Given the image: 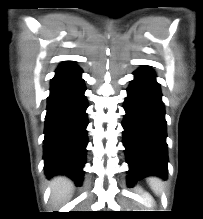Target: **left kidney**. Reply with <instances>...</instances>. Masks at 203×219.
I'll return each instance as SVG.
<instances>
[{"label": "left kidney", "mask_w": 203, "mask_h": 219, "mask_svg": "<svg viewBox=\"0 0 203 219\" xmlns=\"http://www.w3.org/2000/svg\"><path fill=\"white\" fill-rule=\"evenodd\" d=\"M139 193L144 198L146 204H148L147 207L148 208L153 207V205H154L153 198L147 192H144L141 188H139Z\"/></svg>", "instance_id": "obj_1"}]
</instances>
